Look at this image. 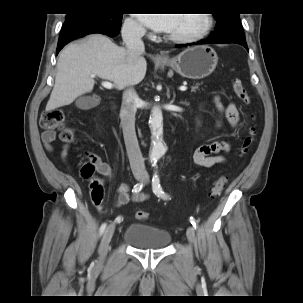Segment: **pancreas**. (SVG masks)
<instances>
[{
  "instance_id": "obj_1",
  "label": "pancreas",
  "mask_w": 303,
  "mask_h": 303,
  "mask_svg": "<svg viewBox=\"0 0 303 303\" xmlns=\"http://www.w3.org/2000/svg\"><path fill=\"white\" fill-rule=\"evenodd\" d=\"M199 84L197 83L196 85L192 86L191 91H195L196 89H198Z\"/></svg>"
}]
</instances>
